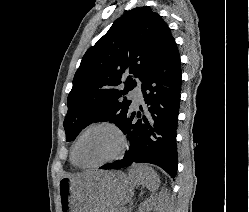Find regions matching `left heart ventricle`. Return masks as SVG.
Wrapping results in <instances>:
<instances>
[{
  "instance_id": "left-heart-ventricle-1",
  "label": "left heart ventricle",
  "mask_w": 249,
  "mask_h": 212,
  "mask_svg": "<svg viewBox=\"0 0 249 212\" xmlns=\"http://www.w3.org/2000/svg\"><path fill=\"white\" fill-rule=\"evenodd\" d=\"M119 148L117 135L109 129L86 134L78 143L77 158L85 165L97 164L115 155Z\"/></svg>"
}]
</instances>
